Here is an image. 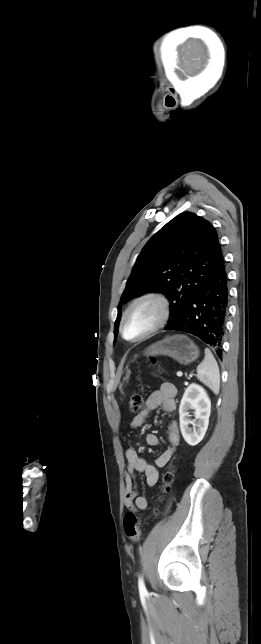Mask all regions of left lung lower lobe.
Listing matches in <instances>:
<instances>
[{"label":"left lung lower lobe","mask_w":261,"mask_h":644,"mask_svg":"<svg viewBox=\"0 0 261 644\" xmlns=\"http://www.w3.org/2000/svg\"><path fill=\"white\" fill-rule=\"evenodd\" d=\"M224 257L217 263L182 314L165 330L191 333L222 355V337L228 310V276Z\"/></svg>","instance_id":"0a47b994"}]
</instances>
